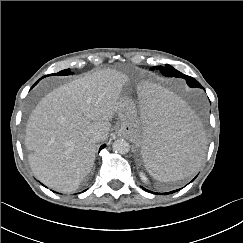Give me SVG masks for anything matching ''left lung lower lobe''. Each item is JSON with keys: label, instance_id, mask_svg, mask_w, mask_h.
Listing matches in <instances>:
<instances>
[{"label": "left lung lower lobe", "instance_id": "obj_1", "mask_svg": "<svg viewBox=\"0 0 243 243\" xmlns=\"http://www.w3.org/2000/svg\"><path fill=\"white\" fill-rule=\"evenodd\" d=\"M190 87H194V85H192V84H188ZM201 88H203V87H201ZM145 191H147V192H150V191H148V190H146L145 188H143ZM177 190H175V191H172V192H169V193H166V194H170V193H174V192H176ZM150 193H152V192H150Z\"/></svg>", "mask_w": 243, "mask_h": 243}]
</instances>
